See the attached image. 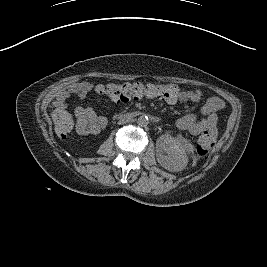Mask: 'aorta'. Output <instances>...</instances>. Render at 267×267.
Returning a JSON list of instances; mask_svg holds the SVG:
<instances>
[{
	"mask_svg": "<svg viewBox=\"0 0 267 267\" xmlns=\"http://www.w3.org/2000/svg\"><path fill=\"white\" fill-rule=\"evenodd\" d=\"M137 123L140 127H145L149 124V119L147 116H140L137 120Z\"/></svg>",
	"mask_w": 267,
	"mask_h": 267,
	"instance_id": "obj_1",
	"label": "aorta"
}]
</instances>
